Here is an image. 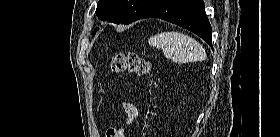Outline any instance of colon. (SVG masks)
Listing matches in <instances>:
<instances>
[{
    "instance_id": "obj_1",
    "label": "colon",
    "mask_w": 280,
    "mask_h": 137,
    "mask_svg": "<svg viewBox=\"0 0 280 137\" xmlns=\"http://www.w3.org/2000/svg\"><path fill=\"white\" fill-rule=\"evenodd\" d=\"M110 68L113 73H134L139 76L151 72V63L137 53H117L110 61ZM106 137H125L123 127H111L106 132Z\"/></svg>"
}]
</instances>
